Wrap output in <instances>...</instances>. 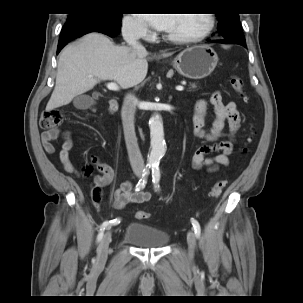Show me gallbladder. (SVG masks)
I'll return each instance as SVG.
<instances>
[{
    "instance_id": "1",
    "label": "gallbladder",
    "mask_w": 303,
    "mask_h": 303,
    "mask_svg": "<svg viewBox=\"0 0 303 303\" xmlns=\"http://www.w3.org/2000/svg\"><path fill=\"white\" fill-rule=\"evenodd\" d=\"M92 97L86 94L78 95L73 100V105L75 108L80 110H85L92 105Z\"/></svg>"
}]
</instances>
